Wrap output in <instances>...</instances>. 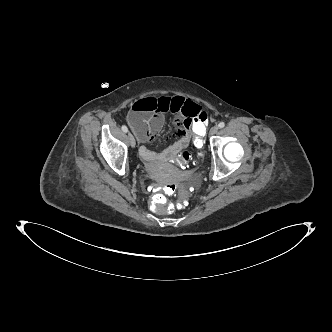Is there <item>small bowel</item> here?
I'll list each match as a JSON object with an SVG mask.
<instances>
[{
	"mask_svg": "<svg viewBox=\"0 0 332 332\" xmlns=\"http://www.w3.org/2000/svg\"><path fill=\"white\" fill-rule=\"evenodd\" d=\"M167 113L176 116V134L168 140V148L160 152L151 150L145 144L160 133ZM201 113L199 104L182 96H148L136 101L129 112L128 122L142 144L140 156L147 162H154L179 154L190 145L194 123Z\"/></svg>",
	"mask_w": 332,
	"mask_h": 332,
	"instance_id": "c3829d8e",
	"label": "small bowel"
}]
</instances>
